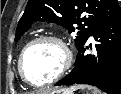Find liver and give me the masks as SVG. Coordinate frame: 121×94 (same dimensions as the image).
Masks as SVG:
<instances>
[{
    "label": "liver",
    "mask_w": 121,
    "mask_h": 94,
    "mask_svg": "<svg viewBox=\"0 0 121 94\" xmlns=\"http://www.w3.org/2000/svg\"><path fill=\"white\" fill-rule=\"evenodd\" d=\"M36 94H48V91H40V92H37Z\"/></svg>",
    "instance_id": "1"
}]
</instances>
